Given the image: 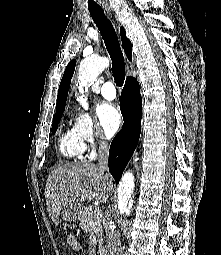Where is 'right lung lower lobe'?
I'll return each instance as SVG.
<instances>
[{
  "label": "right lung lower lobe",
  "mask_w": 221,
  "mask_h": 255,
  "mask_svg": "<svg viewBox=\"0 0 221 255\" xmlns=\"http://www.w3.org/2000/svg\"><path fill=\"white\" fill-rule=\"evenodd\" d=\"M120 109L124 126L114 137L109 150V170L117 183L137 146L141 131L142 98L134 77L126 79Z\"/></svg>",
  "instance_id": "obj_1"
}]
</instances>
